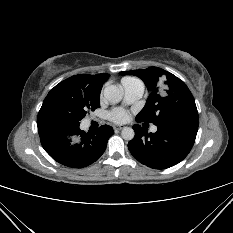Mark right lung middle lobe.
<instances>
[{
	"label": "right lung middle lobe",
	"instance_id": "obj_1",
	"mask_svg": "<svg viewBox=\"0 0 233 233\" xmlns=\"http://www.w3.org/2000/svg\"><path fill=\"white\" fill-rule=\"evenodd\" d=\"M100 92L71 77L60 82L43 101L37 125L51 124L61 128L80 125L88 111L100 107Z\"/></svg>",
	"mask_w": 233,
	"mask_h": 233
}]
</instances>
